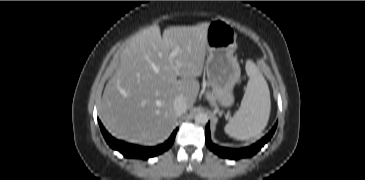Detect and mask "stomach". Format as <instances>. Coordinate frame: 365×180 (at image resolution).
Masks as SVG:
<instances>
[{
  "label": "stomach",
  "instance_id": "stomach-1",
  "mask_svg": "<svg viewBox=\"0 0 365 180\" xmlns=\"http://www.w3.org/2000/svg\"><path fill=\"white\" fill-rule=\"evenodd\" d=\"M237 34L230 23L215 19L208 23L206 30L208 85L218 104L227 108L234 103L233 88L241 74L236 49Z\"/></svg>",
  "mask_w": 365,
  "mask_h": 180
}]
</instances>
